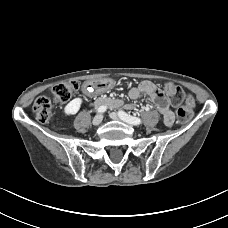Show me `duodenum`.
Masks as SVG:
<instances>
[{
	"label": "duodenum",
	"mask_w": 228,
	"mask_h": 228,
	"mask_svg": "<svg viewBox=\"0 0 228 228\" xmlns=\"http://www.w3.org/2000/svg\"><path fill=\"white\" fill-rule=\"evenodd\" d=\"M98 103H105L113 108H119L123 105L121 100L109 99V98H101L98 100Z\"/></svg>",
	"instance_id": "1"
}]
</instances>
